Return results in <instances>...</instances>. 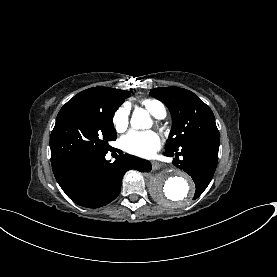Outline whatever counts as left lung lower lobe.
Returning a JSON list of instances; mask_svg holds the SVG:
<instances>
[{
  "label": "left lung lower lobe",
  "mask_w": 277,
  "mask_h": 277,
  "mask_svg": "<svg viewBox=\"0 0 277 277\" xmlns=\"http://www.w3.org/2000/svg\"><path fill=\"white\" fill-rule=\"evenodd\" d=\"M219 144V136H205L164 152L166 156L175 155L173 164L192 177L196 186L194 198L202 194L213 177L218 161Z\"/></svg>",
  "instance_id": "0a47b994"
}]
</instances>
